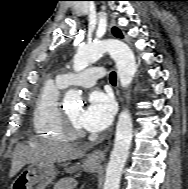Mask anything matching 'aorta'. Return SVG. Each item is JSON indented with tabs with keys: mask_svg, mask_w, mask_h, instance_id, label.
<instances>
[{
	"mask_svg": "<svg viewBox=\"0 0 188 189\" xmlns=\"http://www.w3.org/2000/svg\"><path fill=\"white\" fill-rule=\"evenodd\" d=\"M109 53L116 63L117 74L123 88L130 85L136 72V62L132 50L127 44L117 39H105L80 46L74 57L73 69L82 71ZM63 102L67 106L80 104V93L69 90ZM133 136L132 118L128 110H123L118 118L114 147L106 169L103 189H119L122 172L128 158Z\"/></svg>",
	"mask_w": 188,
	"mask_h": 189,
	"instance_id": "762f6f07",
	"label": "aorta"
}]
</instances>
